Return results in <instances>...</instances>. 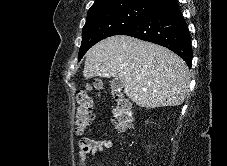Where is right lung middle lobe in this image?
<instances>
[{
    "label": "right lung middle lobe",
    "mask_w": 227,
    "mask_h": 166,
    "mask_svg": "<svg viewBox=\"0 0 227 166\" xmlns=\"http://www.w3.org/2000/svg\"><path fill=\"white\" fill-rule=\"evenodd\" d=\"M154 8L147 4L128 2L88 12L82 32L79 60L94 44L107 37L118 35Z\"/></svg>",
    "instance_id": "dd1d6c3e"
}]
</instances>
